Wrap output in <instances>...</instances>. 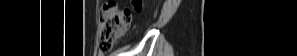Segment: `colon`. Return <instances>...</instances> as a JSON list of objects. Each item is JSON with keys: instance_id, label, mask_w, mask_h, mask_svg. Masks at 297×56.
<instances>
[{"instance_id": "obj_1", "label": "colon", "mask_w": 297, "mask_h": 56, "mask_svg": "<svg viewBox=\"0 0 297 56\" xmlns=\"http://www.w3.org/2000/svg\"><path fill=\"white\" fill-rule=\"evenodd\" d=\"M133 4L136 9H141L140 0H134ZM99 21V51L107 53L112 50L115 41L130 27L132 13L129 9H121L116 1H107L101 7Z\"/></svg>"}]
</instances>
